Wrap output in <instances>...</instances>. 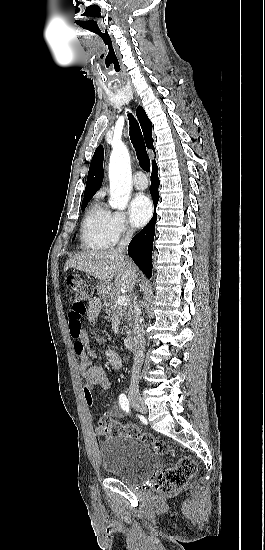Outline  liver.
<instances>
[{
    "mask_svg": "<svg viewBox=\"0 0 265 550\" xmlns=\"http://www.w3.org/2000/svg\"><path fill=\"white\" fill-rule=\"evenodd\" d=\"M76 268L86 272L100 281L99 292L106 295L110 292V282L114 279V291L131 292L138 277L133 262L116 250L89 251L79 253L69 258L64 271Z\"/></svg>",
    "mask_w": 265,
    "mask_h": 550,
    "instance_id": "1",
    "label": "liver"
}]
</instances>
